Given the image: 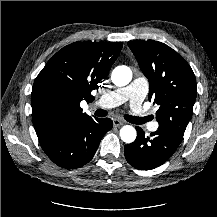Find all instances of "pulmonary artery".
<instances>
[{
  "mask_svg": "<svg viewBox=\"0 0 217 217\" xmlns=\"http://www.w3.org/2000/svg\"><path fill=\"white\" fill-rule=\"evenodd\" d=\"M148 92V82L143 77L135 78L130 85L108 92L101 96L96 102V105L103 108L109 109L114 108L124 102H128L132 113L135 116L145 119V113L141 108L142 101L144 100ZM158 123L151 122L148 125L150 131L158 130Z\"/></svg>",
  "mask_w": 217,
  "mask_h": 217,
  "instance_id": "pulmonary-artery-1",
  "label": "pulmonary artery"
}]
</instances>
